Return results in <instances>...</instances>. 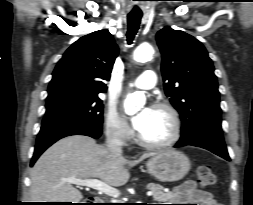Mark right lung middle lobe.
Returning a JSON list of instances; mask_svg holds the SVG:
<instances>
[{
  "mask_svg": "<svg viewBox=\"0 0 253 205\" xmlns=\"http://www.w3.org/2000/svg\"><path fill=\"white\" fill-rule=\"evenodd\" d=\"M103 104L97 95H72L47 101L43 124L76 123L101 127Z\"/></svg>",
  "mask_w": 253,
  "mask_h": 205,
  "instance_id": "right-lung-middle-lobe-1",
  "label": "right lung middle lobe"
}]
</instances>
